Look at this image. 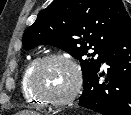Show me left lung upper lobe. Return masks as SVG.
<instances>
[{
  "instance_id": "5c2ea615",
  "label": "left lung upper lobe",
  "mask_w": 131,
  "mask_h": 115,
  "mask_svg": "<svg viewBox=\"0 0 131 115\" xmlns=\"http://www.w3.org/2000/svg\"><path fill=\"white\" fill-rule=\"evenodd\" d=\"M130 28L131 17L121 0H54L25 31L23 47L44 44L67 51L81 62L85 87L112 44ZM90 49L95 51L90 54Z\"/></svg>"
}]
</instances>
